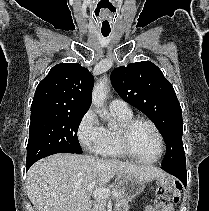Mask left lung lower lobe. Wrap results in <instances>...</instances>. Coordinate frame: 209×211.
<instances>
[{
	"label": "left lung lower lobe",
	"instance_id": "left-lung-lower-lobe-1",
	"mask_svg": "<svg viewBox=\"0 0 209 211\" xmlns=\"http://www.w3.org/2000/svg\"><path fill=\"white\" fill-rule=\"evenodd\" d=\"M161 168L166 172L170 173L171 175L177 177L186 187L187 185L186 162L169 167L161 166Z\"/></svg>",
	"mask_w": 209,
	"mask_h": 211
}]
</instances>
